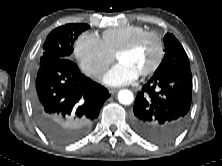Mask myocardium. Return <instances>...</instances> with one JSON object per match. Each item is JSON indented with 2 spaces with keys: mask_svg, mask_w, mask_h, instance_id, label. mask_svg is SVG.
I'll list each match as a JSON object with an SVG mask.
<instances>
[{
  "mask_svg": "<svg viewBox=\"0 0 222 166\" xmlns=\"http://www.w3.org/2000/svg\"><path fill=\"white\" fill-rule=\"evenodd\" d=\"M147 38H153L157 42V56H156L154 63L151 65V67H149L146 71L139 74V76H141V77H146V76L153 74L160 67V65L164 59L165 47H164L163 40L158 33L154 32V31H146V32L136 36L133 40H131L128 44L123 46L116 53V57L118 59V57L120 55L127 54V53H130L133 50H135Z\"/></svg>",
  "mask_w": 222,
  "mask_h": 166,
  "instance_id": "f54148a6",
  "label": "myocardium"
}]
</instances>
